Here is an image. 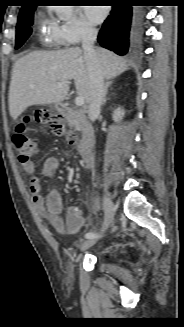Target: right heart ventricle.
Wrapping results in <instances>:
<instances>
[{"instance_id": "1", "label": "right heart ventricle", "mask_w": 184, "mask_h": 327, "mask_svg": "<svg viewBox=\"0 0 184 327\" xmlns=\"http://www.w3.org/2000/svg\"><path fill=\"white\" fill-rule=\"evenodd\" d=\"M41 25H43V26H47V27H46V30H47V32H48V35L50 36L51 39H53V38H52V30H53L54 25H53V24H49V25H48V23H47V22H44V21L41 22Z\"/></svg>"}]
</instances>
